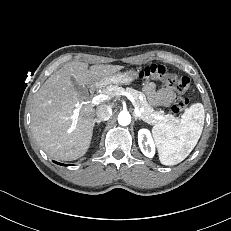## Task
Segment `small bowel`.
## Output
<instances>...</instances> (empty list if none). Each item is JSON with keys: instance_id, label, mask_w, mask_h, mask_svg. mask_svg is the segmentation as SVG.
<instances>
[{"instance_id": "small-bowel-1", "label": "small bowel", "mask_w": 231, "mask_h": 231, "mask_svg": "<svg viewBox=\"0 0 231 231\" xmlns=\"http://www.w3.org/2000/svg\"><path fill=\"white\" fill-rule=\"evenodd\" d=\"M144 93L154 105L169 106L175 99V93L169 88L157 89L153 83L144 86Z\"/></svg>"}]
</instances>
